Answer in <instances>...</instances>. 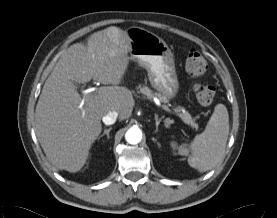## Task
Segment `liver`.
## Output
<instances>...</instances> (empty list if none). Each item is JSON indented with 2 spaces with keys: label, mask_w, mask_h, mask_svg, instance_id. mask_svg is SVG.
<instances>
[{
  "label": "liver",
  "mask_w": 277,
  "mask_h": 218,
  "mask_svg": "<svg viewBox=\"0 0 277 218\" xmlns=\"http://www.w3.org/2000/svg\"><path fill=\"white\" fill-rule=\"evenodd\" d=\"M130 50L127 32L111 26L92 34L86 46L71 45L56 63L36 106L35 132L47 159L58 169L77 172L84 166L108 112L116 111L121 121L131 116L132 93L119 86ZM91 79L111 86L83 100L74 82Z\"/></svg>",
  "instance_id": "liver-1"
}]
</instances>
